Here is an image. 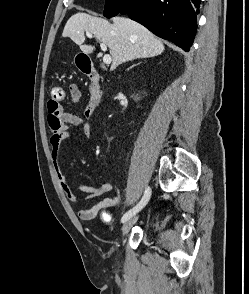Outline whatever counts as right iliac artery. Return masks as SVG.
Listing matches in <instances>:
<instances>
[{
  "label": "right iliac artery",
  "instance_id": "82829eb1",
  "mask_svg": "<svg viewBox=\"0 0 249 294\" xmlns=\"http://www.w3.org/2000/svg\"><path fill=\"white\" fill-rule=\"evenodd\" d=\"M151 195V190L150 188H146L144 196L142 197L141 201L132 209H130L128 212H126L122 219L121 222L124 223L126 222L129 218H131L132 216H134L136 213H138L148 202L149 198Z\"/></svg>",
  "mask_w": 249,
  "mask_h": 294
}]
</instances>
